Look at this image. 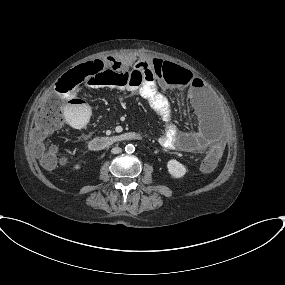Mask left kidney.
I'll use <instances>...</instances> for the list:
<instances>
[{
    "mask_svg": "<svg viewBox=\"0 0 285 285\" xmlns=\"http://www.w3.org/2000/svg\"><path fill=\"white\" fill-rule=\"evenodd\" d=\"M167 169L169 174L176 179L181 178L186 174L184 165L175 159H171L167 162Z\"/></svg>",
    "mask_w": 285,
    "mask_h": 285,
    "instance_id": "1",
    "label": "left kidney"
}]
</instances>
